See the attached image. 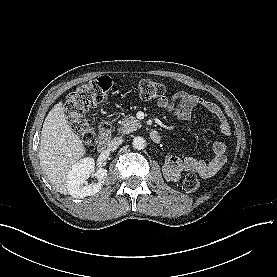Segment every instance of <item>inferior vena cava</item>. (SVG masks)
Instances as JSON below:
<instances>
[{
  "label": "inferior vena cava",
  "mask_w": 277,
  "mask_h": 277,
  "mask_svg": "<svg viewBox=\"0 0 277 277\" xmlns=\"http://www.w3.org/2000/svg\"><path fill=\"white\" fill-rule=\"evenodd\" d=\"M121 142H122V139L120 137H115L114 139L109 140L106 144L107 150L111 151L116 149L117 147H119Z\"/></svg>",
  "instance_id": "1"
}]
</instances>
